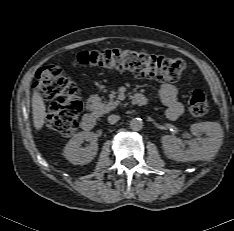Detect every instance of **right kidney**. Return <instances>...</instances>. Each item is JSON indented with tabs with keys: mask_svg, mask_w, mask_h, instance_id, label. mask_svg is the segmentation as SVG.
<instances>
[{
	"mask_svg": "<svg viewBox=\"0 0 234 231\" xmlns=\"http://www.w3.org/2000/svg\"><path fill=\"white\" fill-rule=\"evenodd\" d=\"M84 141L90 144L81 147ZM98 151L97 136L93 132H79L74 135L64 147V157L74 165H84L91 162Z\"/></svg>",
	"mask_w": 234,
	"mask_h": 231,
	"instance_id": "ca27d5eb",
	"label": "right kidney"
}]
</instances>
